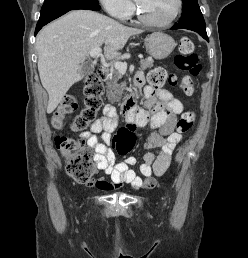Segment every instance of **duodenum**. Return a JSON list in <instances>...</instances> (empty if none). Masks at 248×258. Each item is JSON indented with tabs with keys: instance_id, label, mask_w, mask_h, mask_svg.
I'll return each mask as SVG.
<instances>
[{
	"instance_id": "410a0bca",
	"label": "duodenum",
	"mask_w": 248,
	"mask_h": 258,
	"mask_svg": "<svg viewBox=\"0 0 248 258\" xmlns=\"http://www.w3.org/2000/svg\"><path fill=\"white\" fill-rule=\"evenodd\" d=\"M98 75L102 80H106L109 77V71L106 68H100L98 70ZM140 82V77H135V85L138 86ZM136 93L132 92L122 103V113L126 119L130 118L133 112L136 110L137 106L135 104Z\"/></svg>"
}]
</instances>
